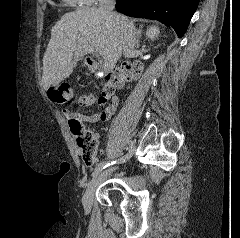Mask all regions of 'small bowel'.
<instances>
[{"mask_svg":"<svg viewBox=\"0 0 240 238\" xmlns=\"http://www.w3.org/2000/svg\"><path fill=\"white\" fill-rule=\"evenodd\" d=\"M94 102H95V96L91 92L83 94L78 98L79 105L83 107H89L93 105ZM117 106H118V98L114 96L111 98L110 104L102 112L85 116L79 112H73L68 109H64L63 114L68 120L71 118H75L80 122L99 123V122H105L109 120L113 116V114L116 112ZM95 138L98 142L99 135L95 134ZM96 157L94 158L95 160L97 159Z\"/></svg>","mask_w":240,"mask_h":238,"instance_id":"1","label":"small bowel"}]
</instances>
